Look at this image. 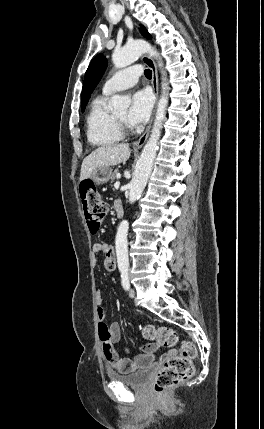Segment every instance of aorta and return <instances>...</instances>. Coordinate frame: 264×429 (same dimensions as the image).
I'll list each match as a JSON object with an SVG mask.
<instances>
[{
    "mask_svg": "<svg viewBox=\"0 0 264 429\" xmlns=\"http://www.w3.org/2000/svg\"><path fill=\"white\" fill-rule=\"evenodd\" d=\"M148 52L151 56L156 59L159 58L158 52L146 41L135 40L127 43L124 47L117 48L112 54V61L116 68H124L134 63L143 53ZM163 66L162 63L159 64ZM163 83H162V95L157 105L156 117L154 125L151 131V135L146 145L144 146L140 158L136 164L133 178L129 184V202L134 203L142 194L148 178L151 174L154 160L158 149V140L160 138L162 122L165 118L166 107L168 105L167 96V82L164 78L165 72L162 71ZM131 103L130 98L119 95L112 97L110 106L114 110L126 109ZM129 230V223L123 220L117 230L115 246L118 268L127 269L129 266L128 257V241L127 235Z\"/></svg>",
    "mask_w": 264,
    "mask_h": 429,
    "instance_id": "obj_1",
    "label": "aorta"
}]
</instances>
